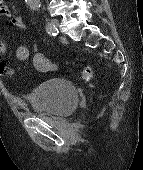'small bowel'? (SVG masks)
Instances as JSON below:
<instances>
[{"instance_id":"1","label":"small bowel","mask_w":143,"mask_h":170,"mask_svg":"<svg viewBox=\"0 0 143 170\" xmlns=\"http://www.w3.org/2000/svg\"><path fill=\"white\" fill-rule=\"evenodd\" d=\"M0 15L5 17H12V24L20 30H25L26 25L20 16H13L12 10L8 4H3L0 0ZM7 50V44L3 39H0V74L11 76L13 70L6 65L2 60V55ZM16 56L21 61L31 60L32 69L35 72H48L54 68L53 63L40 53L37 48L29 49L26 46H19L16 51Z\"/></svg>"}]
</instances>
